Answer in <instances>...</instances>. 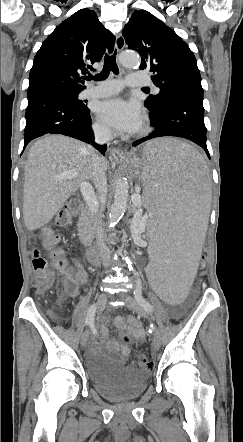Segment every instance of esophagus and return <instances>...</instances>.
<instances>
[{
  "label": "esophagus",
  "instance_id": "obj_1",
  "mask_svg": "<svg viewBox=\"0 0 243 442\" xmlns=\"http://www.w3.org/2000/svg\"><path fill=\"white\" fill-rule=\"evenodd\" d=\"M125 46V39L122 36V34L117 35L116 41H115V47L118 52H121ZM111 157L115 159L116 161H124L127 158V153L123 150L113 147L110 150Z\"/></svg>",
  "mask_w": 243,
  "mask_h": 442
}]
</instances>
